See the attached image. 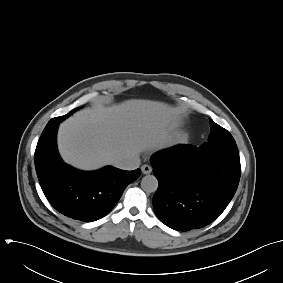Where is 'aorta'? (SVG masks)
<instances>
[{"instance_id":"1","label":"aorta","mask_w":283,"mask_h":283,"mask_svg":"<svg viewBox=\"0 0 283 283\" xmlns=\"http://www.w3.org/2000/svg\"><path fill=\"white\" fill-rule=\"evenodd\" d=\"M141 187L146 192H155L158 188V180L154 175H146L141 180Z\"/></svg>"}]
</instances>
